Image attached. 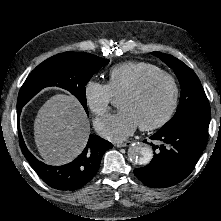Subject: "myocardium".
I'll use <instances>...</instances> for the list:
<instances>
[{
	"label": "myocardium",
	"mask_w": 221,
	"mask_h": 221,
	"mask_svg": "<svg viewBox=\"0 0 221 221\" xmlns=\"http://www.w3.org/2000/svg\"><path fill=\"white\" fill-rule=\"evenodd\" d=\"M159 78H164L166 79L172 88V97H171V102L170 105L165 112V114L158 119L157 121L150 123V124H143L140 125V129L143 131H152L159 129L163 127L165 124L169 122V120L172 118L173 114L176 111L178 101H179V87L177 84L176 79L169 73L164 72V71H158L151 73L144 78H142L139 82H137L135 85L130 87L129 89L125 90L121 96L123 95H132L136 96L141 94L153 81Z\"/></svg>",
	"instance_id": "f54148a6"
}]
</instances>
